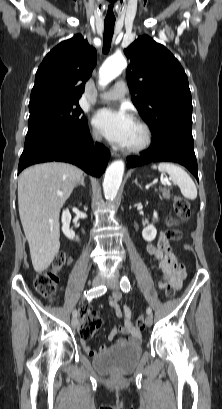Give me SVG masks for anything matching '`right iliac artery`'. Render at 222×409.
<instances>
[{
	"label": "right iliac artery",
	"instance_id": "1",
	"mask_svg": "<svg viewBox=\"0 0 222 409\" xmlns=\"http://www.w3.org/2000/svg\"><path fill=\"white\" fill-rule=\"evenodd\" d=\"M107 291V287L106 286H98V287H94L92 289H90L89 291H85L84 292V297L87 298L88 300H92L93 298H97L99 296H102L103 294H105V292ZM73 317H77V311L76 309L73 311Z\"/></svg>",
	"mask_w": 222,
	"mask_h": 409
}]
</instances>
